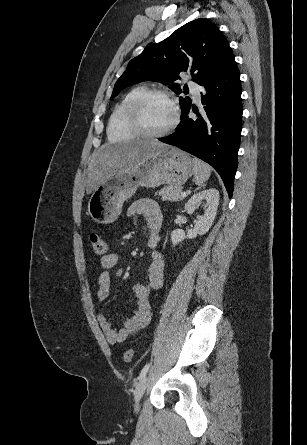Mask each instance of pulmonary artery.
<instances>
[{
  "mask_svg": "<svg viewBox=\"0 0 307 445\" xmlns=\"http://www.w3.org/2000/svg\"><path fill=\"white\" fill-rule=\"evenodd\" d=\"M187 88L189 90H196L198 88V83L196 81H189L187 83ZM194 96L196 99H199V93L198 92H194Z\"/></svg>",
  "mask_w": 307,
  "mask_h": 445,
  "instance_id": "obj_1",
  "label": "pulmonary artery"
}]
</instances>
